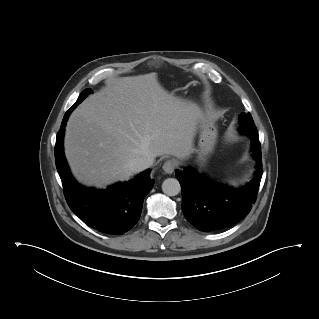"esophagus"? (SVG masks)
<instances>
[{
    "mask_svg": "<svg viewBox=\"0 0 319 319\" xmlns=\"http://www.w3.org/2000/svg\"><path fill=\"white\" fill-rule=\"evenodd\" d=\"M176 167H177V163L173 159H169L165 161V163L162 166L164 172L167 174H172Z\"/></svg>",
    "mask_w": 319,
    "mask_h": 319,
    "instance_id": "esophagus-1",
    "label": "esophagus"
}]
</instances>
